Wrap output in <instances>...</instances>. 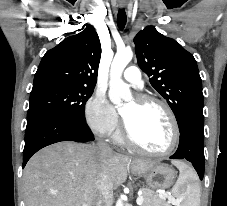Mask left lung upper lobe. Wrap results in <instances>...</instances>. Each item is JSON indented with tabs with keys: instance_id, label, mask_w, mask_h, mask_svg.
<instances>
[{
	"instance_id": "obj_1",
	"label": "left lung upper lobe",
	"mask_w": 227,
	"mask_h": 206,
	"mask_svg": "<svg viewBox=\"0 0 227 206\" xmlns=\"http://www.w3.org/2000/svg\"><path fill=\"white\" fill-rule=\"evenodd\" d=\"M134 43L139 67L167 100L179 130L192 119L204 122L202 82L193 55L153 26L140 31Z\"/></svg>"
}]
</instances>
